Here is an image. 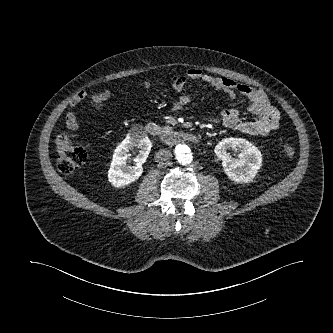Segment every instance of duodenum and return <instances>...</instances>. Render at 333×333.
<instances>
[{"instance_id": "duodenum-1", "label": "duodenum", "mask_w": 333, "mask_h": 333, "mask_svg": "<svg viewBox=\"0 0 333 333\" xmlns=\"http://www.w3.org/2000/svg\"><path fill=\"white\" fill-rule=\"evenodd\" d=\"M146 130L150 136L158 138L167 144H176L179 142H197L196 136L191 133L164 128L155 123L149 124Z\"/></svg>"}]
</instances>
